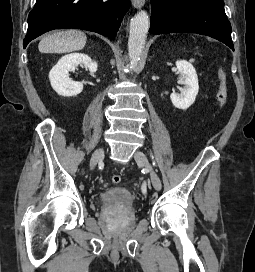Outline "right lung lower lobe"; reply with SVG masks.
<instances>
[{
  "mask_svg": "<svg viewBox=\"0 0 255 272\" xmlns=\"http://www.w3.org/2000/svg\"><path fill=\"white\" fill-rule=\"evenodd\" d=\"M130 0H36L28 16L23 46L43 33L63 28L97 32L114 38Z\"/></svg>",
  "mask_w": 255,
  "mask_h": 272,
  "instance_id": "1",
  "label": "right lung lower lobe"
}]
</instances>
